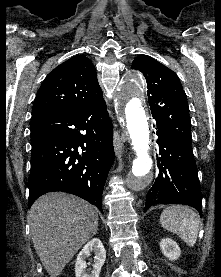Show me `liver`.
Wrapping results in <instances>:
<instances>
[{
	"instance_id": "6515ba94",
	"label": "liver",
	"mask_w": 221,
	"mask_h": 277,
	"mask_svg": "<svg viewBox=\"0 0 221 277\" xmlns=\"http://www.w3.org/2000/svg\"><path fill=\"white\" fill-rule=\"evenodd\" d=\"M32 242L50 277L66 264L98 230L97 209L76 196L61 192L38 198L28 213Z\"/></svg>"
}]
</instances>
